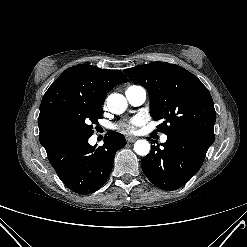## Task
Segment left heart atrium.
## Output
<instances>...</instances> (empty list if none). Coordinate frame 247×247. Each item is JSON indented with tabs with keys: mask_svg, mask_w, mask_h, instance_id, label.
<instances>
[{
	"mask_svg": "<svg viewBox=\"0 0 247 247\" xmlns=\"http://www.w3.org/2000/svg\"><path fill=\"white\" fill-rule=\"evenodd\" d=\"M143 118L140 116L133 117L125 122L120 123L117 128L124 132H133L138 126L143 123Z\"/></svg>",
	"mask_w": 247,
	"mask_h": 247,
	"instance_id": "1",
	"label": "left heart atrium"
}]
</instances>
